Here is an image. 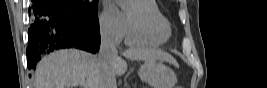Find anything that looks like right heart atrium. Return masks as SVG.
<instances>
[{
    "label": "right heart atrium",
    "instance_id": "d8ad5b80",
    "mask_svg": "<svg viewBox=\"0 0 267 88\" xmlns=\"http://www.w3.org/2000/svg\"><path fill=\"white\" fill-rule=\"evenodd\" d=\"M100 31L106 39L119 43L126 31L124 15L115 7L104 9L100 15Z\"/></svg>",
    "mask_w": 267,
    "mask_h": 88
}]
</instances>
